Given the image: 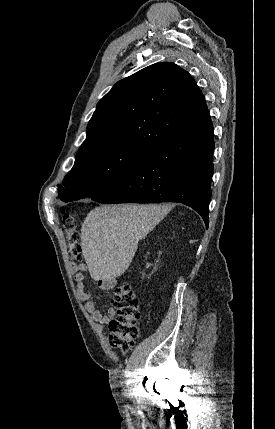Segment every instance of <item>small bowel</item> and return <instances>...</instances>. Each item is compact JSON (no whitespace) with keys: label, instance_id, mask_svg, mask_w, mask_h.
Returning a JSON list of instances; mask_svg holds the SVG:
<instances>
[{"label":"small bowel","instance_id":"obj_1","mask_svg":"<svg viewBox=\"0 0 275 429\" xmlns=\"http://www.w3.org/2000/svg\"><path fill=\"white\" fill-rule=\"evenodd\" d=\"M72 270L74 272V280L78 285L79 297L84 301V308L90 314L93 321L99 324L109 323L116 315V310L114 308H109L106 314H103L97 307L95 302L91 299V294L86 291L83 287L84 274L85 270L84 265L73 266ZM99 287L102 289H109L111 283L105 280H99Z\"/></svg>","mask_w":275,"mask_h":429}]
</instances>
